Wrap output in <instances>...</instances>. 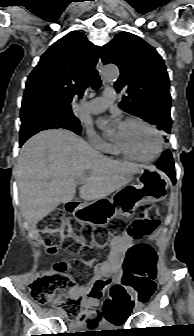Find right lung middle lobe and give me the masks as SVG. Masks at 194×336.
<instances>
[{"instance_id": "right-lung-middle-lobe-1", "label": "right lung middle lobe", "mask_w": 194, "mask_h": 336, "mask_svg": "<svg viewBox=\"0 0 194 336\" xmlns=\"http://www.w3.org/2000/svg\"><path fill=\"white\" fill-rule=\"evenodd\" d=\"M63 128L80 134L79 120L73 114L47 113L39 114L28 121H22L20 141L27 140L42 130Z\"/></svg>"}]
</instances>
